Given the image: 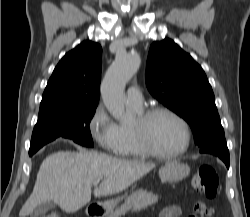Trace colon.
Returning <instances> with one entry per match:
<instances>
[{"mask_svg":"<svg viewBox=\"0 0 250 217\" xmlns=\"http://www.w3.org/2000/svg\"><path fill=\"white\" fill-rule=\"evenodd\" d=\"M218 176L216 171L210 165H202L191 177V186L196 191L204 194L207 198H215L218 194ZM211 212L210 208L203 202H197L194 205V215L190 217H204ZM46 217H59L51 214Z\"/></svg>","mask_w":250,"mask_h":217,"instance_id":"1","label":"colon"}]
</instances>
